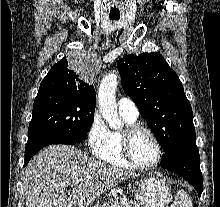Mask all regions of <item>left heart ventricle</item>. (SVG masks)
Wrapping results in <instances>:
<instances>
[{"mask_svg": "<svg viewBox=\"0 0 220 207\" xmlns=\"http://www.w3.org/2000/svg\"><path fill=\"white\" fill-rule=\"evenodd\" d=\"M131 150L135 160L140 164L148 165L157 159L156 145L144 131H139L132 137Z\"/></svg>", "mask_w": 220, "mask_h": 207, "instance_id": "1", "label": "left heart ventricle"}]
</instances>
